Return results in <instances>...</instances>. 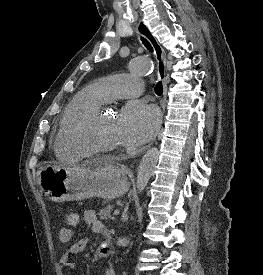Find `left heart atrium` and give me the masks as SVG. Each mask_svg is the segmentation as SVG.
Listing matches in <instances>:
<instances>
[{
	"mask_svg": "<svg viewBox=\"0 0 263 275\" xmlns=\"http://www.w3.org/2000/svg\"><path fill=\"white\" fill-rule=\"evenodd\" d=\"M160 123L157 108L142 101L128 103L118 117V129L123 142L138 146L156 133Z\"/></svg>",
	"mask_w": 263,
	"mask_h": 275,
	"instance_id": "left-heart-atrium-1",
	"label": "left heart atrium"
}]
</instances>
